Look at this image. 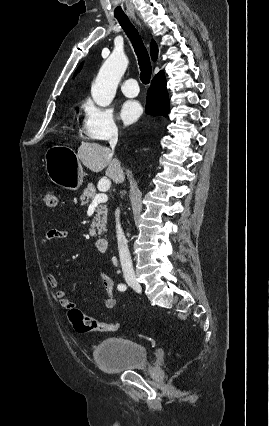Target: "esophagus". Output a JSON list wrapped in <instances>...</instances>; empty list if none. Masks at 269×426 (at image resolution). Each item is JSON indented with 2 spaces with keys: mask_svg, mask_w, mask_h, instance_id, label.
Segmentation results:
<instances>
[{
  "mask_svg": "<svg viewBox=\"0 0 269 426\" xmlns=\"http://www.w3.org/2000/svg\"><path fill=\"white\" fill-rule=\"evenodd\" d=\"M134 19L136 20V18H134ZM136 22H137L138 24H140V23H139V21H137V20H136Z\"/></svg>",
  "mask_w": 269,
  "mask_h": 426,
  "instance_id": "esophagus-1",
  "label": "esophagus"
}]
</instances>
